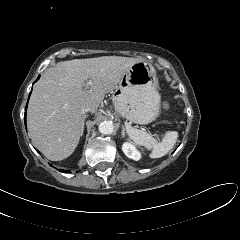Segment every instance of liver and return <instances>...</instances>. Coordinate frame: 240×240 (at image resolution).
<instances>
[{
  "label": "liver",
  "instance_id": "liver-1",
  "mask_svg": "<svg viewBox=\"0 0 240 240\" xmlns=\"http://www.w3.org/2000/svg\"><path fill=\"white\" fill-rule=\"evenodd\" d=\"M138 58L102 56L58 62L34 88L27 125L33 144L52 161L69 157L83 133V107L98 108ZM88 80L92 85L86 88Z\"/></svg>",
  "mask_w": 240,
  "mask_h": 240
}]
</instances>
